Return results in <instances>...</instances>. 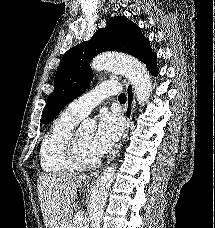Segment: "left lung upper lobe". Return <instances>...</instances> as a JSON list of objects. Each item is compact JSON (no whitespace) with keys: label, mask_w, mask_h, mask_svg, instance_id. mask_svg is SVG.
<instances>
[{"label":"left lung upper lobe","mask_w":215,"mask_h":228,"mask_svg":"<svg viewBox=\"0 0 215 228\" xmlns=\"http://www.w3.org/2000/svg\"><path fill=\"white\" fill-rule=\"evenodd\" d=\"M104 51L124 52L145 64L154 54L139 26L123 16L110 18L106 27L98 29L89 41L64 54L55 75L54 91L43 110V124L50 123L61 109L87 89L93 77L89 63Z\"/></svg>","instance_id":"5c2ea615"}]
</instances>
